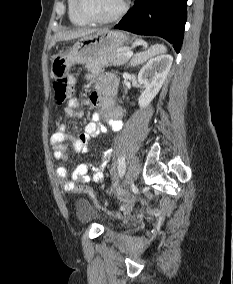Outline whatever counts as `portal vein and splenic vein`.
<instances>
[{
  "label": "portal vein and splenic vein",
  "mask_w": 233,
  "mask_h": 284,
  "mask_svg": "<svg viewBox=\"0 0 233 284\" xmlns=\"http://www.w3.org/2000/svg\"><path fill=\"white\" fill-rule=\"evenodd\" d=\"M132 56H133L132 51H127L126 54H125V57L128 58V59L131 58Z\"/></svg>",
  "instance_id": "portal-vein-and-splenic-vein-1"
}]
</instances>
